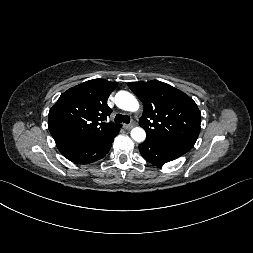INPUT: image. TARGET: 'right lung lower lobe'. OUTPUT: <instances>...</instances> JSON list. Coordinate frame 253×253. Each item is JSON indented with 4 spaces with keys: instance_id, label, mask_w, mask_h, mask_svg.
I'll return each mask as SVG.
<instances>
[{
    "instance_id": "1",
    "label": "right lung lower lobe",
    "mask_w": 253,
    "mask_h": 253,
    "mask_svg": "<svg viewBox=\"0 0 253 253\" xmlns=\"http://www.w3.org/2000/svg\"><path fill=\"white\" fill-rule=\"evenodd\" d=\"M119 128L88 143L79 145L65 153L68 160L78 164H89L103 158L110 150Z\"/></svg>"
}]
</instances>
